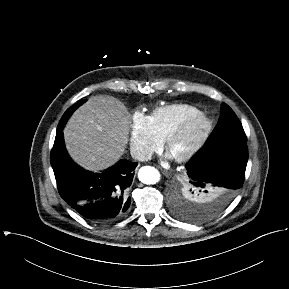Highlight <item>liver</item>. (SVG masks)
Segmentation results:
<instances>
[{
	"mask_svg": "<svg viewBox=\"0 0 289 289\" xmlns=\"http://www.w3.org/2000/svg\"><path fill=\"white\" fill-rule=\"evenodd\" d=\"M131 116L118 99L94 96L80 106L64 128L66 149L81 167L98 172L123 155Z\"/></svg>",
	"mask_w": 289,
	"mask_h": 289,
	"instance_id": "liver-1",
	"label": "liver"
}]
</instances>
